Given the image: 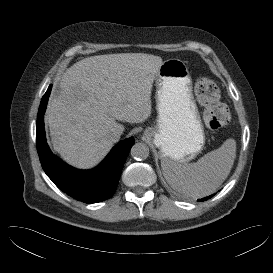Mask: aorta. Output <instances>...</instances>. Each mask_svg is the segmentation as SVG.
I'll list each match as a JSON object with an SVG mask.
<instances>
[{
    "label": "aorta",
    "instance_id": "obj_1",
    "mask_svg": "<svg viewBox=\"0 0 273 273\" xmlns=\"http://www.w3.org/2000/svg\"><path fill=\"white\" fill-rule=\"evenodd\" d=\"M130 153L136 160H145L149 156V147L145 143H135Z\"/></svg>",
    "mask_w": 273,
    "mask_h": 273
}]
</instances>
